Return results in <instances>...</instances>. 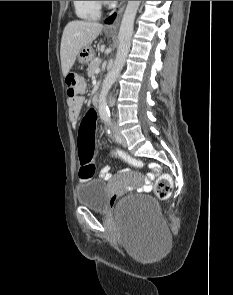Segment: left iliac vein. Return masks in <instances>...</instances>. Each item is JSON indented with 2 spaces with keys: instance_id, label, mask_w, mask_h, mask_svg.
Wrapping results in <instances>:
<instances>
[{
  "instance_id": "obj_1",
  "label": "left iliac vein",
  "mask_w": 233,
  "mask_h": 295,
  "mask_svg": "<svg viewBox=\"0 0 233 295\" xmlns=\"http://www.w3.org/2000/svg\"><path fill=\"white\" fill-rule=\"evenodd\" d=\"M115 131L117 133V136L119 137V140H120L119 143H121L123 146H126L127 142H126L125 138L119 133V131L117 129Z\"/></svg>"
}]
</instances>
